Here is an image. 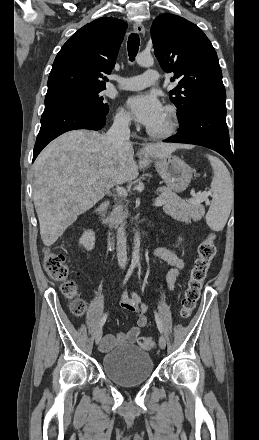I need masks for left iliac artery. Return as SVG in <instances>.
I'll list each match as a JSON object with an SVG mask.
<instances>
[{
  "instance_id": "1",
  "label": "left iliac artery",
  "mask_w": 259,
  "mask_h": 440,
  "mask_svg": "<svg viewBox=\"0 0 259 440\" xmlns=\"http://www.w3.org/2000/svg\"><path fill=\"white\" fill-rule=\"evenodd\" d=\"M155 320H156V324H157L159 331L162 333L163 332L162 323H161L160 318L156 312H155Z\"/></svg>"
}]
</instances>
